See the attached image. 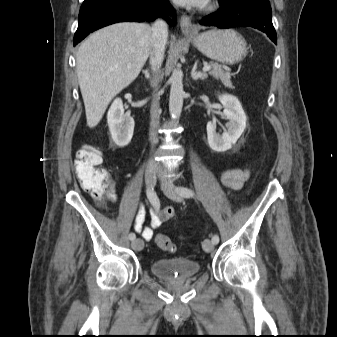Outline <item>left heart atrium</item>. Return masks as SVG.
I'll return each mask as SVG.
<instances>
[{
  "instance_id": "39dd6f15",
  "label": "left heart atrium",
  "mask_w": 337,
  "mask_h": 337,
  "mask_svg": "<svg viewBox=\"0 0 337 337\" xmlns=\"http://www.w3.org/2000/svg\"><path fill=\"white\" fill-rule=\"evenodd\" d=\"M183 6L202 7L207 4L208 0H174Z\"/></svg>"
}]
</instances>
